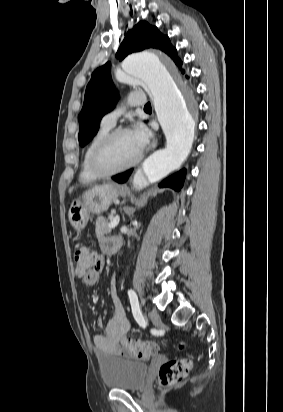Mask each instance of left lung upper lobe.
Instances as JSON below:
<instances>
[{
  "mask_svg": "<svg viewBox=\"0 0 283 412\" xmlns=\"http://www.w3.org/2000/svg\"><path fill=\"white\" fill-rule=\"evenodd\" d=\"M147 48L159 49L170 56L179 67L182 64L168 36H164L157 27L151 26L145 21L139 22L128 32L116 56L121 61L128 54ZM110 67V63H106L96 69L87 85L83 108L78 117L80 146H84L94 138L99 130V119L112 110L118 100L110 77ZM182 73H184L183 70Z\"/></svg>",
  "mask_w": 283,
  "mask_h": 412,
  "instance_id": "obj_1",
  "label": "left lung upper lobe"
}]
</instances>
